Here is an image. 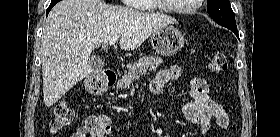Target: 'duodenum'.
Wrapping results in <instances>:
<instances>
[{
	"instance_id": "410a0bca",
	"label": "duodenum",
	"mask_w": 280,
	"mask_h": 137,
	"mask_svg": "<svg viewBox=\"0 0 280 137\" xmlns=\"http://www.w3.org/2000/svg\"><path fill=\"white\" fill-rule=\"evenodd\" d=\"M117 83V75L113 71H107L101 81V86L104 88H111Z\"/></svg>"
}]
</instances>
